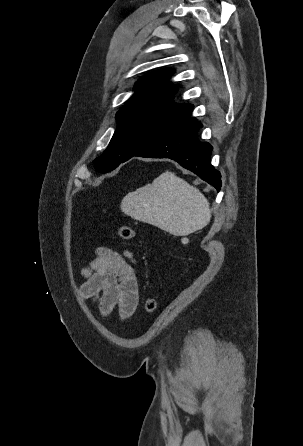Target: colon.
Wrapping results in <instances>:
<instances>
[{
	"label": "colon",
	"mask_w": 303,
	"mask_h": 446,
	"mask_svg": "<svg viewBox=\"0 0 303 446\" xmlns=\"http://www.w3.org/2000/svg\"><path fill=\"white\" fill-rule=\"evenodd\" d=\"M119 238L123 241H130L135 237V231L132 227L127 226V225H122L118 228V232H117ZM157 307V302L155 300V298L153 297H149L145 300L144 303V310L147 313H152L155 311Z\"/></svg>",
	"instance_id": "5ec220e1"
}]
</instances>
